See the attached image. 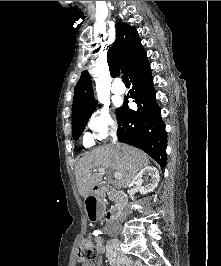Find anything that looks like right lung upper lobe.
<instances>
[{"label": "right lung upper lobe", "mask_w": 221, "mask_h": 266, "mask_svg": "<svg viewBox=\"0 0 221 266\" xmlns=\"http://www.w3.org/2000/svg\"><path fill=\"white\" fill-rule=\"evenodd\" d=\"M116 40L107 53V62L113 77L121 73L128 76L147 61L137 30L125 22L116 23ZM96 105L88 71L81 73L74 90L72 117L91 111Z\"/></svg>", "instance_id": "right-lung-upper-lobe-1"}]
</instances>
